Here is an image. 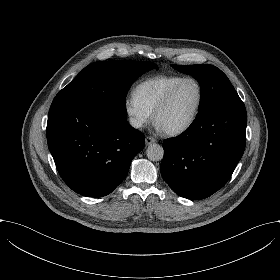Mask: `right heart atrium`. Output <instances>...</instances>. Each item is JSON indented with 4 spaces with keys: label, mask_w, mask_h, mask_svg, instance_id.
<instances>
[{
    "label": "right heart atrium",
    "mask_w": 280,
    "mask_h": 280,
    "mask_svg": "<svg viewBox=\"0 0 280 280\" xmlns=\"http://www.w3.org/2000/svg\"><path fill=\"white\" fill-rule=\"evenodd\" d=\"M125 113L134 128H141L152 119V113L146 109L136 98L130 94L124 101Z\"/></svg>",
    "instance_id": "d8ad5b80"
}]
</instances>
